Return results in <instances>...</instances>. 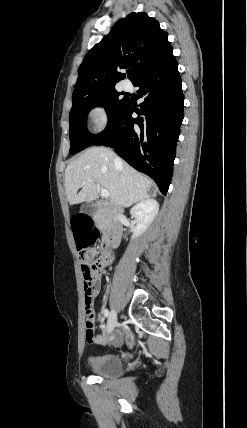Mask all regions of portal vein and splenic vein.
I'll return each instance as SVG.
<instances>
[{"label": "portal vein and splenic vein", "mask_w": 247, "mask_h": 428, "mask_svg": "<svg viewBox=\"0 0 247 428\" xmlns=\"http://www.w3.org/2000/svg\"><path fill=\"white\" fill-rule=\"evenodd\" d=\"M100 192H101L102 197H109L110 196L109 191L104 189L103 187H100Z\"/></svg>", "instance_id": "portal-vein-and-splenic-vein-1"}]
</instances>
